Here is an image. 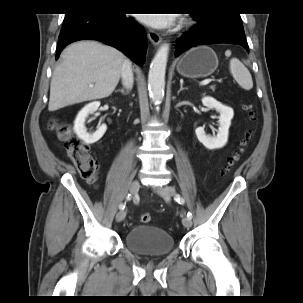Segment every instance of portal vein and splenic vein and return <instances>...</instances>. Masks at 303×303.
<instances>
[{"mask_svg": "<svg viewBox=\"0 0 303 303\" xmlns=\"http://www.w3.org/2000/svg\"><path fill=\"white\" fill-rule=\"evenodd\" d=\"M210 82H211L210 79H206V80L201 82V85H208ZM90 87H93V85H90Z\"/></svg>", "mask_w": 303, "mask_h": 303, "instance_id": "1", "label": "portal vein and splenic vein"}]
</instances>
